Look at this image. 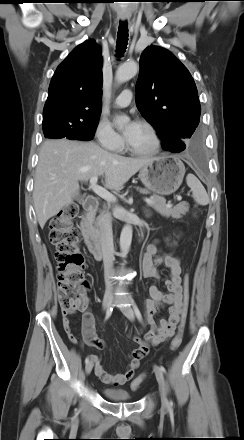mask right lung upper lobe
Listing matches in <instances>:
<instances>
[{
    "label": "right lung upper lobe",
    "instance_id": "1",
    "mask_svg": "<svg viewBox=\"0 0 244 440\" xmlns=\"http://www.w3.org/2000/svg\"><path fill=\"white\" fill-rule=\"evenodd\" d=\"M102 57L94 40L78 45L58 66L49 86L43 122L87 124L99 119L102 107Z\"/></svg>",
    "mask_w": 244,
    "mask_h": 440
}]
</instances>
